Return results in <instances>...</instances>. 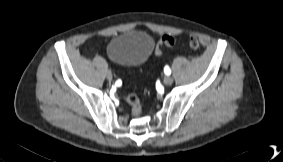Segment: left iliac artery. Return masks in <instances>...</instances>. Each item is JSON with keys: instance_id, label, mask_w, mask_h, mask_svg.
I'll return each mask as SVG.
<instances>
[{"instance_id": "44dca946", "label": "left iliac artery", "mask_w": 283, "mask_h": 162, "mask_svg": "<svg viewBox=\"0 0 283 162\" xmlns=\"http://www.w3.org/2000/svg\"><path fill=\"white\" fill-rule=\"evenodd\" d=\"M164 72H165L166 75H170L171 74V70H170V68L168 66L164 67Z\"/></svg>"}]
</instances>
